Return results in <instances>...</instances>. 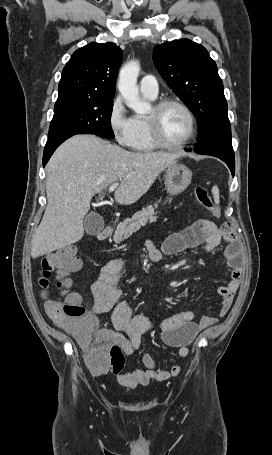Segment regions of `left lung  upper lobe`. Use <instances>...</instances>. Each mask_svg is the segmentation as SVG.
Here are the masks:
<instances>
[{"label": "left lung upper lobe", "instance_id": "left-lung-upper-lobe-1", "mask_svg": "<svg viewBox=\"0 0 272 455\" xmlns=\"http://www.w3.org/2000/svg\"><path fill=\"white\" fill-rule=\"evenodd\" d=\"M156 68L198 121L197 143L231 131L224 87L208 51L189 39L155 46Z\"/></svg>", "mask_w": 272, "mask_h": 455}]
</instances>
